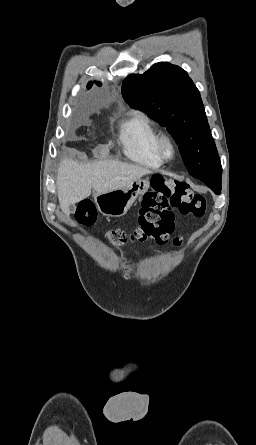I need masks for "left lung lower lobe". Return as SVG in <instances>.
Wrapping results in <instances>:
<instances>
[{
	"mask_svg": "<svg viewBox=\"0 0 256 445\" xmlns=\"http://www.w3.org/2000/svg\"><path fill=\"white\" fill-rule=\"evenodd\" d=\"M193 177H196L203 181L208 187H210L215 194L221 192V174L208 173V172H196L190 173Z\"/></svg>",
	"mask_w": 256,
	"mask_h": 445,
	"instance_id": "1",
	"label": "left lung lower lobe"
}]
</instances>
